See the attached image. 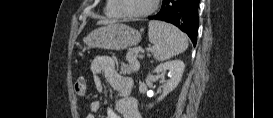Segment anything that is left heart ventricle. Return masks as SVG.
I'll return each mask as SVG.
<instances>
[{"label":"left heart ventricle","mask_w":273,"mask_h":118,"mask_svg":"<svg viewBox=\"0 0 273 118\" xmlns=\"http://www.w3.org/2000/svg\"><path fill=\"white\" fill-rule=\"evenodd\" d=\"M153 0H123L125 9L130 13L143 12L150 8Z\"/></svg>","instance_id":"1"}]
</instances>
